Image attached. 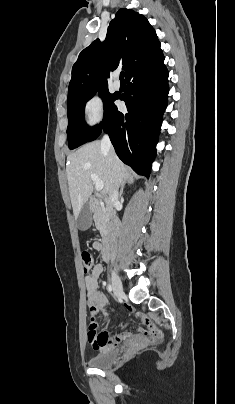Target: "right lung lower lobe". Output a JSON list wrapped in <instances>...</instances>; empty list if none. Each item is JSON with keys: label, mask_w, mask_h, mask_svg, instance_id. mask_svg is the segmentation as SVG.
I'll list each match as a JSON object with an SVG mask.
<instances>
[{"label": "right lung lower lobe", "mask_w": 235, "mask_h": 404, "mask_svg": "<svg viewBox=\"0 0 235 404\" xmlns=\"http://www.w3.org/2000/svg\"><path fill=\"white\" fill-rule=\"evenodd\" d=\"M126 80L127 92L117 99L125 101L128 113L119 112L113 105L88 141L105 131L118 157L136 173L148 177L169 92L164 56L131 72Z\"/></svg>", "instance_id": "right-lung-lower-lobe-1"}]
</instances>
